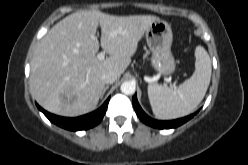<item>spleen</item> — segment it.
<instances>
[{
	"label": "spleen",
	"instance_id": "obj_1",
	"mask_svg": "<svg viewBox=\"0 0 248 165\" xmlns=\"http://www.w3.org/2000/svg\"><path fill=\"white\" fill-rule=\"evenodd\" d=\"M195 72L177 88L148 85V97L154 115L175 119L190 114L203 100L211 79V60L202 46L195 49Z\"/></svg>",
	"mask_w": 248,
	"mask_h": 165
}]
</instances>
